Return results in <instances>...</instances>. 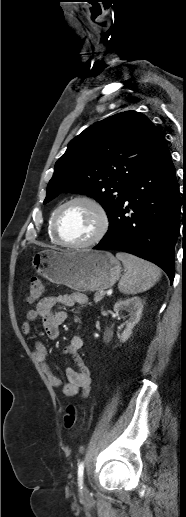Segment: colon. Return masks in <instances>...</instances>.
<instances>
[{
  "instance_id": "5ec220e1",
  "label": "colon",
  "mask_w": 186,
  "mask_h": 517,
  "mask_svg": "<svg viewBox=\"0 0 186 517\" xmlns=\"http://www.w3.org/2000/svg\"><path fill=\"white\" fill-rule=\"evenodd\" d=\"M43 295V284L38 276H33L30 281L28 292V303L32 304L39 301ZM77 421V410L71 405L64 414V426L66 429H72Z\"/></svg>"
}]
</instances>
